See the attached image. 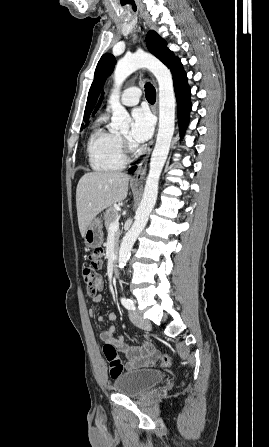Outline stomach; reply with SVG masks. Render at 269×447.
<instances>
[{"instance_id":"0dacf381","label":"stomach","mask_w":269,"mask_h":447,"mask_svg":"<svg viewBox=\"0 0 269 447\" xmlns=\"http://www.w3.org/2000/svg\"><path fill=\"white\" fill-rule=\"evenodd\" d=\"M84 239L88 247H99L103 243L102 222L99 218H94L91 224L88 225Z\"/></svg>"}]
</instances>
